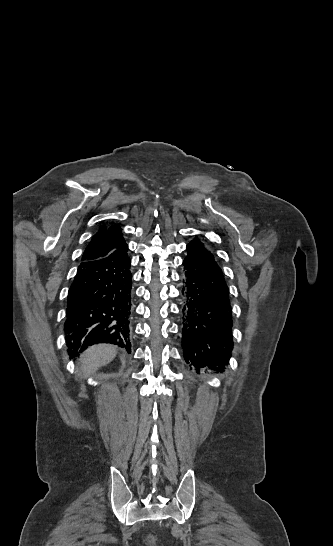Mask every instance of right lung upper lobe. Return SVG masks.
Here are the masks:
<instances>
[{
	"mask_svg": "<svg viewBox=\"0 0 333 546\" xmlns=\"http://www.w3.org/2000/svg\"><path fill=\"white\" fill-rule=\"evenodd\" d=\"M125 245L120 226H103L93 236L82 256L83 261L102 258Z\"/></svg>",
	"mask_w": 333,
	"mask_h": 546,
	"instance_id": "obj_1",
	"label": "right lung upper lobe"
}]
</instances>
